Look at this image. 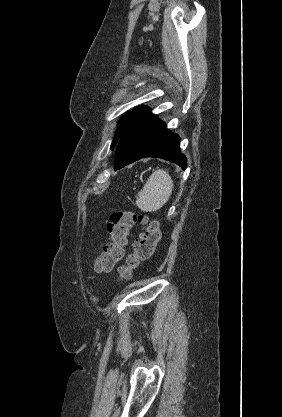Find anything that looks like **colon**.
Segmentation results:
<instances>
[{"label": "colon", "instance_id": "obj_1", "mask_svg": "<svg viewBox=\"0 0 282 417\" xmlns=\"http://www.w3.org/2000/svg\"><path fill=\"white\" fill-rule=\"evenodd\" d=\"M135 224H140L144 228V234L135 241L133 253L119 268V278L129 279L136 268L153 257L161 239L159 222L134 211L116 210L107 225L109 241L95 261L97 271L109 272L122 260L130 230Z\"/></svg>", "mask_w": 282, "mask_h": 417}]
</instances>
